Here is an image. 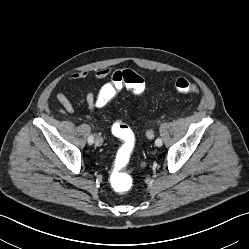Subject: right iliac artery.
Wrapping results in <instances>:
<instances>
[{"mask_svg": "<svg viewBox=\"0 0 249 249\" xmlns=\"http://www.w3.org/2000/svg\"><path fill=\"white\" fill-rule=\"evenodd\" d=\"M93 142H94V135H90V136L88 137V143H89V144H93Z\"/></svg>", "mask_w": 249, "mask_h": 249, "instance_id": "1", "label": "right iliac artery"}]
</instances>
